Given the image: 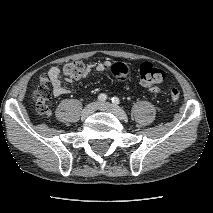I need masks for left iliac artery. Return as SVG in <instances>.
Wrapping results in <instances>:
<instances>
[{
	"instance_id": "1",
	"label": "left iliac artery",
	"mask_w": 213,
	"mask_h": 213,
	"mask_svg": "<svg viewBox=\"0 0 213 213\" xmlns=\"http://www.w3.org/2000/svg\"><path fill=\"white\" fill-rule=\"evenodd\" d=\"M112 102H113L114 104H119V103H120V100H119L118 97H113V98H112Z\"/></svg>"
}]
</instances>
